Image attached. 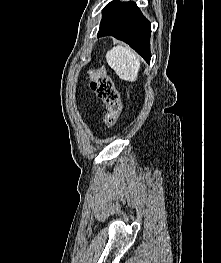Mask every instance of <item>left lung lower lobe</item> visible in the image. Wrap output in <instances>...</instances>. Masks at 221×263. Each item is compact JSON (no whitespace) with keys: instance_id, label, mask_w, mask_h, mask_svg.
Listing matches in <instances>:
<instances>
[{"instance_id":"0a47b994","label":"left lung lower lobe","mask_w":221,"mask_h":263,"mask_svg":"<svg viewBox=\"0 0 221 263\" xmlns=\"http://www.w3.org/2000/svg\"><path fill=\"white\" fill-rule=\"evenodd\" d=\"M109 35L126 42L150 62L151 25L134 2L113 0L106 5L98 37Z\"/></svg>"}]
</instances>
